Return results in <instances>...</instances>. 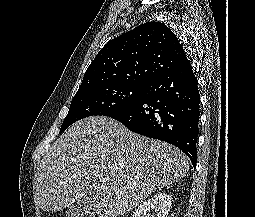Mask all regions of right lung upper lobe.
I'll return each instance as SVG.
<instances>
[{
	"label": "right lung upper lobe",
	"instance_id": "cb5924a9",
	"mask_svg": "<svg viewBox=\"0 0 255 217\" xmlns=\"http://www.w3.org/2000/svg\"><path fill=\"white\" fill-rule=\"evenodd\" d=\"M189 63L164 23L147 22L109 41L87 68L78 91L109 85H148Z\"/></svg>",
	"mask_w": 255,
	"mask_h": 217
}]
</instances>
